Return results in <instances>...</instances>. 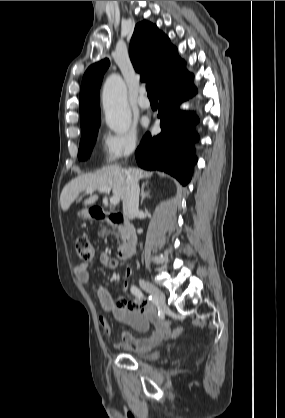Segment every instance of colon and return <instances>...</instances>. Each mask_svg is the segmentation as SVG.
Returning <instances> with one entry per match:
<instances>
[{
  "mask_svg": "<svg viewBox=\"0 0 285 418\" xmlns=\"http://www.w3.org/2000/svg\"><path fill=\"white\" fill-rule=\"evenodd\" d=\"M75 251L77 254V257L80 262L86 263L90 261L96 253V249L94 244L91 242L90 238L86 235L79 236L75 240ZM184 331L183 326L176 327L173 331L170 332L169 338L176 339L181 335V333Z\"/></svg>",
  "mask_w": 285,
  "mask_h": 418,
  "instance_id": "obj_1",
  "label": "colon"
}]
</instances>
